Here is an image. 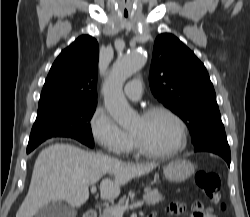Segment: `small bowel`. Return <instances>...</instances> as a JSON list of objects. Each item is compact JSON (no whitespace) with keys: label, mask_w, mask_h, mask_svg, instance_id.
<instances>
[{"label":"small bowel","mask_w":250,"mask_h":217,"mask_svg":"<svg viewBox=\"0 0 250 217\" xmlns=\"http://www.w3.org/2000/svg\"><path fill=\"white\" fill-rule=\"evenodd\" d=\"M184 209H185L184 204L179 202H174L169 204L165 208L164 213L168 216H175L182 214ZM203 217H217V216L213 214L209 209H205Z\"/></svg>","instance_id":"c3829d8e"}]
</instances>
